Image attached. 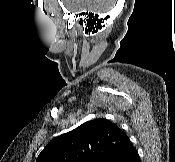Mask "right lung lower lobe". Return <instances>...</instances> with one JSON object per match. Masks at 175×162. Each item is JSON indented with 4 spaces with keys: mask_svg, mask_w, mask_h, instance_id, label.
<instances>
[{
    "mask_svg": "<svg viewBox=\"0 0 175 162\" xmlns=\"http://www.w3.org/2000/svg\"><path fill=\"white\" fill-rule=\"evenodd\" d=\"M112 162H140L137 150L133 147L124 154L117 156Z\"/></svg>",
    "mask_w": 175,
    "mask_h": 162,
    "instance_id": "right-lung-lower-lobe-1",
    "label": "right lung lower lobe"
}]
</instances>
